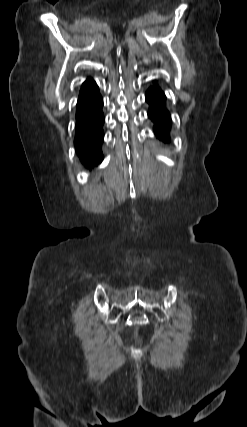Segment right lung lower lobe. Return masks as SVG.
<instances>
[{
    "label": "right lung lower lobe",
    "mask_w": 247,
    "mask_h": 427,
    "mask_svg": "<svg viewBox=\"0 0 247 427\" xmlns=\"http://www.w3.org/2000/svg\"><path fill=\"white\" fill-rule=\"evenodd\" d=\"M103 99L98 86L87 79L81 86L76 107L75 150L80 161L89 169L103 160L101 145L104 139L102 126Z\"/></svg>",
    "instance_id": "98d812e1"
}]
</instances>
